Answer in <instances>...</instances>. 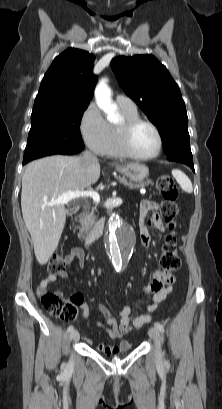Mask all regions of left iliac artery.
Segmentation results:
<instances>
[{
    "mask_svg": "<svg viewBox=\"0 0 222 409\" xmlns=\"http://www.w3.org/2000/svg\"><path fill=\"white\" fill-rule=\"evenodd\" d=\"M155 327L160 331V332H164V326L161 323H155Z\"/></svg>",
    "mask_w": 222,
    "mask_h": 409,
    "instance_id": "44dca946",
    "label": "left iliac artery"
}]
</instances>
